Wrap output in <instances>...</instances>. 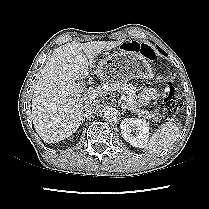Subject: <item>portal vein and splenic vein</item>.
Segmentation results:
<instances>
[{
	"mask_svg": "<svg viewBox=\"0 0 209 209\" xmlns=\"http://www.w3.org/2000/svg\"><path fill=\"white\" fill-rule=\"evenodd\" d=\"M97 96H98V91H96L94 89L88 91V97H90V98H96ZM121 99L124 100V101H126L127 100V97L124 94H122L121 95Z\"/></svg>",
	"mask_w": 209,
	"mask_h": 209,
	"instance_id": "obj_1",
	"label": "portal vein and splenic vein"
}]
</instances>
